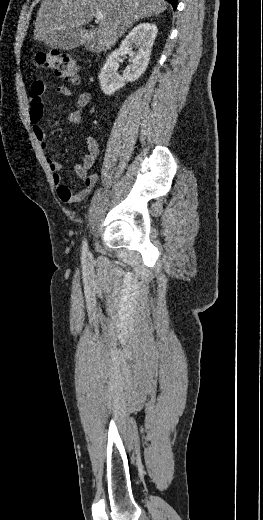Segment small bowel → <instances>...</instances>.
<instances>
[{"label": "small bowel", "instance_id": "obj_1", "mask_svg": "<svg viewBox=\"0 0 263 520\" xmlns=\"http://www.w3.org/2000/svg\"><path fill=\"white\" fill-rule=\"evenodd\" d=\"M47 88V84L43 81H35L31 84L29 92V114L33 126V133L41 149L46 153H52L54 149L50 145L45 135V132L41 126V121L44 114L43 96ZM56 92L59 95L65 97H71L75 95V109L68 114L67 119L70 123L79 125L82 120L81 110L89 103L90 94L85 91H81L74 94V92L68 86L65 85L57 86ZM98 154L99 144L97 140L92 136H86V153L83 157L82 162L74 167V171L77 177L84 182L83 187H81L78 190H73L72 188L63 183V178L61 175V163L51 157H47V165L52 173L53 181L57 187V194L62 202H80L89 195V193L95 187L98 181L97 174L89 173L90 169L96 161Z\"/></svg>", "mask_w": 263, "mask_h": 520}]
</instances>
